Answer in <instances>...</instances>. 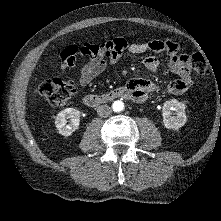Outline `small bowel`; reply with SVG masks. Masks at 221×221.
Masks as SVG:
<instances>
[{
	"mask_svg": "<svg viewBox=\"0 0 221 221\" xmlns=\"http://www.w3.org/2000/svg\"><path fill=\"white\" fill-rule=\"evenodd\" d=\"M124 51L132 54L166 52L169 56L168 68L177 76V79L165 86H160L149 79L128 81L125 87L130 91L131 98L136 102L145 101L149 93L161 89L173 95L183 94L193 85L190 65L186 60L187 56L180 53V47L176 42L170 39H153L144 43H134L127 41L125 38H115L102 44L84 43L78 48L80 55L88 57V62L78 73L79 84L81 86L89 85L108 66L116 64ZM143 64L153 73L158 71L159 61L153 55L145 57Z\"/></svg>",
	"mask_w": 221,
	"mask_h": 221,
	"instance_id": "obj_1",
	"label": "small bowel"
}]
</instances>
